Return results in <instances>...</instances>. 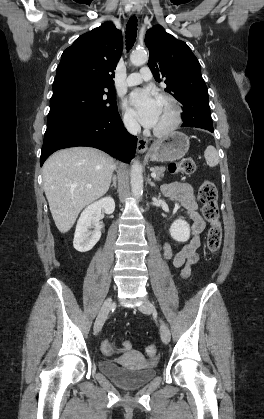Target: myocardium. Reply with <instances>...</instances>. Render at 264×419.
Instances as JSON below:
<instances>
[{
  "mask_svg": "<svg viewBox=\"0 0 264 419\" xmlns=\"http://www.w3.org/2000/svg\"><path fill=\"white\" fill-rule=\"evenodd\" d=\"M159 100L166 102L171 108V120L162 128H154L153 133L157 136H165L174 131L182 121V109L178 101L169 94H160Z\"/></svg>",
  "mask_w": 264,
  "mask_h": 419,
  "instance_id": "1",
  "label": "myocardium"
}]
</instances>
